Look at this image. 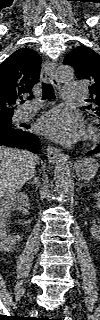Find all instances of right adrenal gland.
<instances>
[{
	"instance_id": "2a0ac1e0",
	"label": "right adrenal gland",
	"mask_w": 100,
	"mask_h": 320,
	"mask_svg": "<svg viewBox=\"0 0 100 320\" xmlns=\"http://www.w3.org/2000/svg\"><path fill=\"white\" fill-rule=\"evenodd\" d=\"M27 183H32L33 185L36 186V188L40 187L39 179L35 175H33L32 179H30Z\"/></svg>"
}]
</instances>
